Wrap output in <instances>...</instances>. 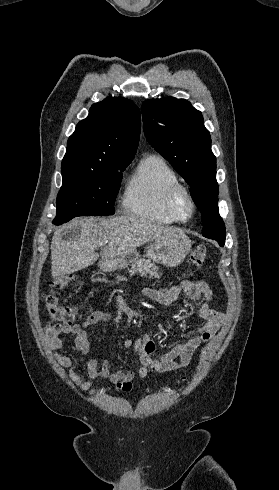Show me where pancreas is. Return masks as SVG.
<instances>
[{"mask_svg": "<svg viewBox=\"0 0 279 490\" xmlns=\"http://www.w3.org/2000/svg\"><path fill=\"white\" fill-rule=\"evenodd\" d=\"M158 266H155L150 260H138L136 264H132L129 268V274H140L142 278H160L162 274H158Z\"/></svg>", "mask_w": 279, "mask_h": 490, "instance_id": "obj_1", "label": "pancreas"}]
</instances>
